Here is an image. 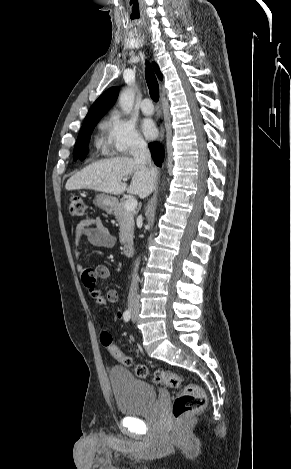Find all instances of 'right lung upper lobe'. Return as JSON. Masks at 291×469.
I'll use <instances>...</instances> for the list:
<instances>
[{
    "instance_id": "cb5924a9",
    "label": "right lung upper lobe",
    "mask_w": 291,
    "mask_h": 469,
    "mask_svg": "<svg viewBox=\"0 0 291 469\" xmlns=\"http://www.w3.org/2000/svg\"><path fill=\"white\" fill-rule=\"evenodd\" d=\"M153 68L158 78L162 80L163 75L156 63H153ZM118 92L117 87H111L101 94L89 109L85 119L101 118L116 102Z\"/></svg>"
}]
</instances>
